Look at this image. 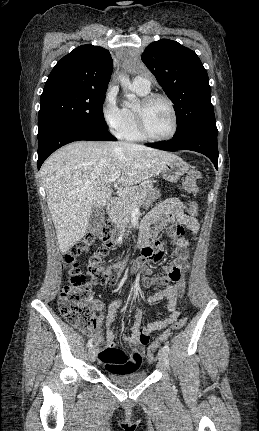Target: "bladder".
I'll return each mask as SVG.
<instances>
[{"label": "bladder", "mask_w": 259, "mask_h": 431, "mask_svg": "<svg viewBox=\"0 0 259 431\" xmlns=\"http://www.w3.org/2000/svg\"><path fill=\"white\" fill-rule=\"evenodd\" d=\"M106 377L113 383L120 386H128L145 380L148 373L145 371H123L105 370Z\"/></svg>", "instance_id": "obj_1"}]
</instances>
